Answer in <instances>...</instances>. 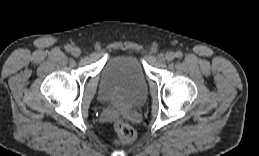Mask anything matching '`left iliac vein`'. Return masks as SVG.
Returning <instances> with one entry per match:
<instances>
[{"label": "left iliac vein", "mask_w": 259, "mask_h": 156, "mask_svg": "<svg viewBox=\"0 0 259 156\" xmlns=\"http://www.w3.org/2000/svg\"><path fill=\"white\" fill-rule=\"evenodd\" d=\"M174 58H175V54L173 53V52H167L166 54H165V59L167 60V61H172V60H174Z\"/></svg>", "instance_id": "4c4485c4"}]
</instances>
